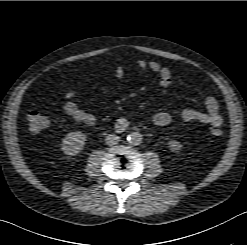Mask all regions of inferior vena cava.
Here are the masks:
<instances>
[{
	"label": "inferior vena cava",
	"mask_w": 247,
	"mask_h": 245,
	"mask_svg": "<svg viewBox=\"0 0 247 245\" xmlns=\"http://www.w3.org/2000/svg\"><path fill=\"white\" fill-rule=\"evenodd\" d=\"M106 144L107 145H115L120 141L119 136L115 135V134H109L106 139Z\"/></svg>",
	"instance_id": "obj_1"
}]
</instances>
